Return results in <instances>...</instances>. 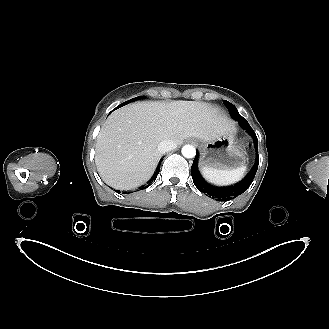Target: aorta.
<instances>
[{
  "instance_id": "1",
  "label": "aorta",
  "mask_w": 329,
  "mask_h": 329,
  "mask_svg": "<svg viewBox=\"0 0 329 329\" xmlns=\"http://www.w3.org/2000/svg\"><path fill=\"white\" fill-rule=\"evenodd\" d=\"M182 155L186 158H193L196 155V149L192 145H185L182 147Z\"/></svg>"
}]
</instances>
